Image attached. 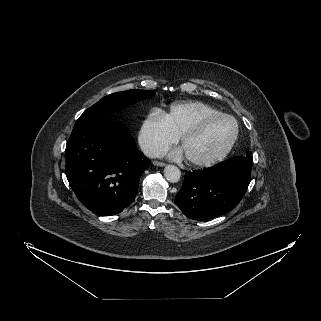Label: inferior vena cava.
Masks as SVG:
<instances>
[{"label": "inferior vena cava", "mask_w": 321, "mask_h": 321, "mask_svg": "<svg viewBox=\"0 0 321 321\" xmlns=\"http://www.w3.org/2000/svg\"><path fill=\"white\" fill-rule=\"evenodd\" d=\"M141 149L143 153L150 158H157L164 155V151L161 148L149 143L141 144Z\"/></svg>", "instance_id": "602c4592"}]
</instances>
